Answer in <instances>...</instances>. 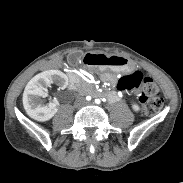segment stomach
Segmentation results:
<instances>
[{
  "mask_svg": "<svg viewBox=\"0 0 183 183\" xmlns=\"http://www.w3.org/2000/svg\"><path fill=\"white\" fill-rule=\"evenodd\" d=\"M100 69H110L113 72H128L131 69L129 59L120 55H104L103 63L99 66Z\"/></svg>",
  "mask_w": 183,
  "mask_h": 183,
  "instance_id": "stomach-1",
  "label": "stomach"
}]
</instances>
